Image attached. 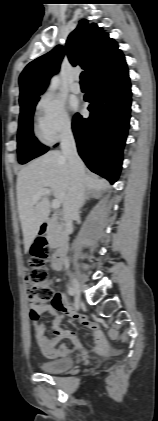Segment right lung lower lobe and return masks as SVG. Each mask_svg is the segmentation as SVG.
<instances>
[{"label": "right lung lower lobe", "instance_id": "98d812e1", "mask_svg": "<svg viewBox=\"0 0 158 421\" xmlns=\"http://www.w3.org/2000/svg\"><path fill=\"white\" fill-rule=\"evenodd\" d=\"M89 118L75 114L78 153L91 171L117 181L130 119L131 89L124 55L118 54L89 77Z\"/></svg>", "mask_w": 158, "mask_h": 421}]
</instances>
